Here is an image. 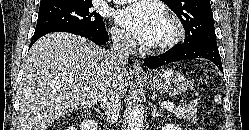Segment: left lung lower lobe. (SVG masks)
Returning <instances> with one entry per match:
<instances>
[{
    "instance_id": "1",
    "label": "left lung lower lobe",
    "mask_w": 249,
    "mask_h": 130,
    "mask_svg": "<svg viewBox=\"0 0 249 130\" xmlns=\"http://www.w3.org/2000/svg\"><path fill=\"white\" fill-rule=\"evenodd\" d=\"M193 58L208 59L223 72L217 44L207 42L176 45L159 56L145 59V64L149 69H155L171 62Z\"/></svg>"
}]
</instances>
